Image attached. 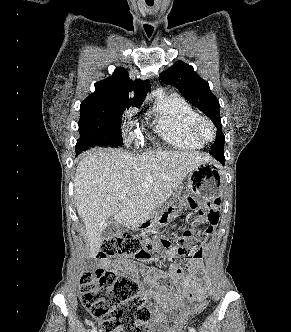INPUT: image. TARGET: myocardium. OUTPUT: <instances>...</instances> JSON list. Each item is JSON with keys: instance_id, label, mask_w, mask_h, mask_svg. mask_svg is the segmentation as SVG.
<instances>
[{"instance_id": "myocardium-1", "label": "myocardium", "mask_w": 291, "mask_h": 332, "mask_svg": "<svg viewBox=\"0 0 291 332\" xmlns=\"http://www.w3.org/2000/svg\"><path fill=\"white\" fill-rule=\"evenodd\" d=\"M203 125H207L210 130H211V137L210 138H206L203 136V134L201 133V128ZM191 131L193 133V135L201 142L203 143H209L211 141H213L216 137V128L214 123L212 122V120L205 116V115H200L198 114L192 121L191 123Z\"/></svg>"}]
</instances>
